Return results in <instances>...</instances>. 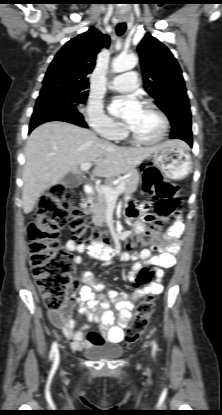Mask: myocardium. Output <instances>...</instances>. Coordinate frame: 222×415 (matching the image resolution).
Masks as SVG:
<instances>
[{"label": "myocardium", "mask_w": 222, "mask_h": 415, "mask_svg": "<svg viewBox=\"0 0 222 415\" xmlns=\"http://www.w3.org/2000/svg\"><path fill=\"white\" fill-rule=\"evenodd\" d=\"M143 107L151 109L161 119L162 130H161L159 136L156 137L155 139H151V140L142 139V138L138 137L135 133H133L128 127H125V129H124L125 135L133 143H136V144H139V145H155V144H158L161 141H163L164 138L167 135V132H168V129H169V119H168L167 115L160 108H158L155 104H153L151 102H144Z\"/></svg>", "instance_id": "f54148a6"}]
</instances>
